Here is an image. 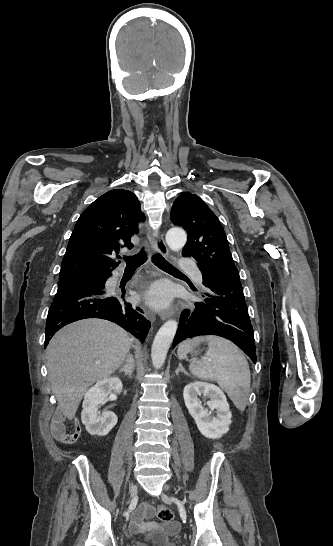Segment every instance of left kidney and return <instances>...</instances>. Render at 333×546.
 I'll return each mask as SVG.
<instances>
[{
	"label": "left kidney",
	"instance_id": "left-kidney-1",
	"mask_svg": "<svg viewBox=\"0 0 333 546\" xmlns=\"http://www.w3.org/2000/svg\"><path fill=\"white\" fill-rule=\"evenodd\" d=\"M184 402L202 435L210 439L222 437L229 431L231 412L224 392L216 385L196 381L183 392ZM208 398L205 408L198 397ZM212 412L216 415L212 416Z\"/></svg>",
	"mask_w": 333,
	"mask_h": 546
}]
</instances>
